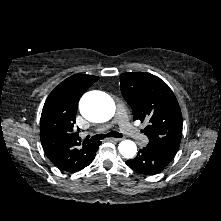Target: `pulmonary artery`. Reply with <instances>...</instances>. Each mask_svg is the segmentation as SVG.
<instances>
[{
    "label": "pulmonary artery",
    "instance_id": "pulmonary-artery-1",
    "mask_svg": "<svg viewBox=\"0 0 221 221\" xmlns=\"http://www.w3.org/2000/svg\"><path fill=\"white\" fill-rule=\"evenodd\" d=\"M115 122L119 125L121 131L135 139L137 142L145 143L146 137L138 132V130L129 123L125 110L118 106ZM111 125H107V128Z\"/></svg>",
    "mask_w": 221,
    "mask_h": 221
}]
</instances>
